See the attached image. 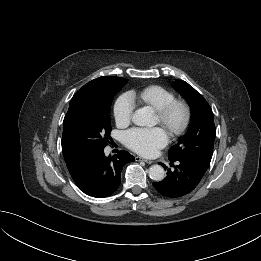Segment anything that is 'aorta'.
Listing matches in <instances>:
<instances>
[{"label": "aorta", "instance_id": "762f6f07", "mask_svg": "<svg viewBox=\"0 0 261 261\" xmlns=\"http://www.w3.org/2000/svg\"><path fill=\"white\" fill-rule=\"evenodd\" d=\"M132 122L137 126H149L154 124V112L149 107L137 109L132 115ZM149 176L154 181H162L165 177L164 168L160 165H152L149 168Z\"/></svg>", "mask_w": 261, "mask_h": 261}]
</instances>
